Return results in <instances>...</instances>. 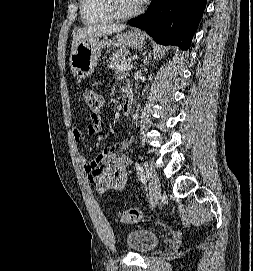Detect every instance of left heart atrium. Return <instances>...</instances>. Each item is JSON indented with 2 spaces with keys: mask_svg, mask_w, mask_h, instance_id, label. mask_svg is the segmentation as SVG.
Wrapping results in <instances>:
<instances>
[{
  "mask_svg": "<svg viewBox=\"0 0 253 271\" xmlns=\"http://www.w3.org/2000/svg\"><path fill=\"white\" fill-rule=\"evenodd\" d=\"M140 3H143V2H145L146 0H138Z\"/></svg>",
  "mask_w": 253,
  "mask_h": 271,
  "instance_id": "left-heart-atrium-1",
  "label": "left heart atrium"
}]
</instances>
